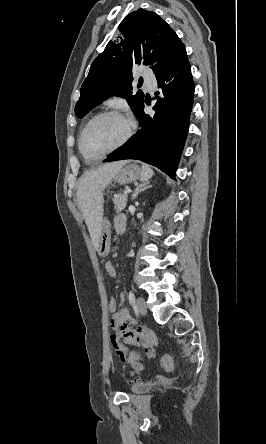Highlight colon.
I'll return each mask as SVG.
<instances>
[{
    "label": "colon",
    "instance_id": "1",
    "mask_svg": "<svg viewBox=\"0 0 266 444\" xmlns=\"http://www.w3.org/2000/svg\"><path fill=\"white\" fill-rule=\"evenodd\" d=\"M107 308L108 311L113 315L117 312V303L113 297L108 298ZM129 358L132 360V362L139 363L140 356L137 353L131 352L129 354ZM159 362L160 365L167 370L173 369L174 366L176 365L175 359L170 355L162 357Z\"/></svg>",
    "mask_w": 266,
    "mask_h": 444
}]
</instances>
